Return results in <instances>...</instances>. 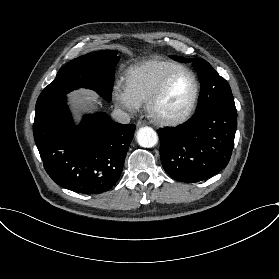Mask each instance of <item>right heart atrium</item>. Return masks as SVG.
I'll use <instances>...</instances> for the list:
<instances>
[{
  "mask_svg": "<svg viewBox=\"0 0 279 279\" xmlns=\"http://www.w3.org/2000/svg\"><path fill=\"white\" fill-rule=\"evenodd\" d=\"M112 99L120 107L130 111L137 112L143 105L144 101L132 93L126 85H115L112 89Z\"/></svg>",
  "mask_w": 279,
  "mask_h": 279,
  "instance_id": "1",
  "label": "right heart atrium"
}]
</instances>
